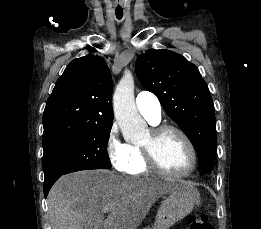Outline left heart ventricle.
I'll use <instances>...</instances> for the list:
<instances>
[{
	"mask_svg": "<svg viewBox=\"0 0 261 229\" xmlns=\"http://www.w3.org/2000/svg\"><path fill=\"white\" fill-rule=\"evenodd\" d=\"M157 156L161 164L172 172H184L191 164L186 143L181 136L173 132L166 133L161 138L157 146Z\"/></svg>",
	"mask_w": 261,
	"mask_h": 229,
	"instance_id": "1",
	"label": "left heart ventricle"
}]
</instances>
